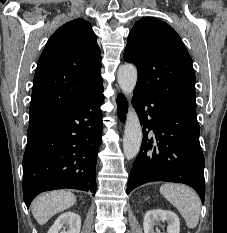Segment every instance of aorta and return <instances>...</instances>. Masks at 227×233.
<instances>
[{
    "label": "aorta",
    "instance_id": "762f6f07",
    "mask_svg": "<svg viewBox=\"0 0 227 233\" xmlns=\"http://www.w3.org/2000/svg\"><path fill=\"white\" fill-rule=\"evenodd\" d=\"M137 77V69L132 64L122 65L117 73L119 87L129 102L123 137V152L127 159H132L139 153L142 142L140 121L131 105V98L137 83Z\"/></svg>",
    "mask_w": 227,
    "mask_h": 233
}]
</instances>
